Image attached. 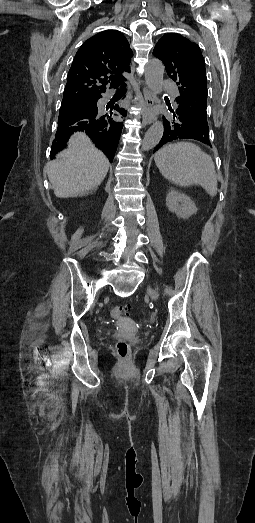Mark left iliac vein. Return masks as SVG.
Instances as JSON below:
<instances>
[{
    "label": "left iliac vein",
    "mask_w": 255,
    "mask_h": 523,
    "mask_svg": "<svg viewBox=\"0 0 255 523\" xmlns=\"http://www.w3.org/2000/svg\"><path fill=\"white\" fill-rule=\"evenodd\" d=\"M147 292L149 294V296L153 299V300H157L158 299V294L156 291H154L153 289L151 288H147Z\"/></svg>",
    "instance_id": "4c4485c4"
}]
</instances>
